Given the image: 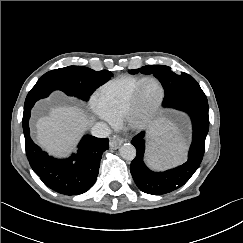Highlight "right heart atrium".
<instances>
[{
  "instance_id": "d8ad5b80",
  "label": "right heart atrium",
  "mask_w": 243,
  "mask_h": 243,
  "mask_svg": "<svg viewBox=\"0 0 243 243\" xmlns=\"http://www.w3.org/2000/svg\"><path fill=\"white\" fill-rule=\"evenodd\" d=\"M92 112L93 114L98 117L99 119H102L110 124H113L114 121L110 119L107 115H105L101 110H99L93 103L92 105Z\"/></svg>"
}]
</instances>
